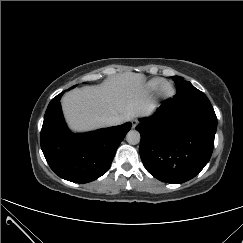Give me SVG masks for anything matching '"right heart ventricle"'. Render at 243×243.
I'll return each mask as SVG.
<instances>
[{
	"label": "right heart ventricle",
	"mask_w": 243,
	"mask_h": 243,
	"mask_svg": "<svg viewBox=\"0 0 243 243\" xmlns=\"http://www.w3.org/2000/svg\"><path fill=\"white\" fill-rule=\"evenodd\" d=\"M164 83V79L156 77L147 81L145 84V91L147 93H153L159 89V87Z\"/></svg>",
	"instance_id": "e07e8e85"
}]
</instances>
